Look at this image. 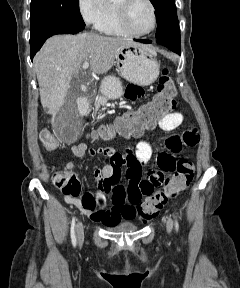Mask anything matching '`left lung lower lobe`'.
<instances>
[{
	"instance_id": "1",
	"label": "left lung lower lobe",
	"mask_w": 240,
	"mask_h": 288,
	"mask_svg": "<svg viewBox=\"0 0 240 288\" xmlns=\"http://www.w3.org/2000/svg\"><path fill=\"white\" fill-rule=\"evenodd\" d=\"M136 41L146 43V44H149L152 42L150 40H136ZM156 42L180 54V38H160V39H157Z\"/></svg>"
}]
</instances>
